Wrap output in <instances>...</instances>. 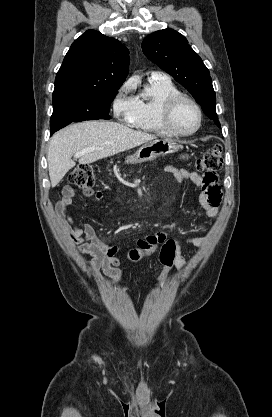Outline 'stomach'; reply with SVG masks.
<instances>
[{"mask_svg": "<svg viewBox=\"0 0 272 417\" xmlns=\"http://www.w3.org/2000/svg\"><path fill=\"white\" fill-rule=\"evenodd\" d=\"M179 145L161 139H154L144 143L134 154L126 157V163L136 164L152 161L158 157L176 152Z\"/></svg>", "mask_w": 272, "mask_h": 417, "instance_id": "0dacf381", "label": "stomach"}]
</instances>
